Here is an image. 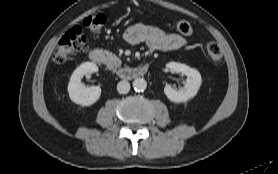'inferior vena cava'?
Wrapping results in <instances>:
<instances>
[{
	"label": "inferior vena cava",
	"mask_w": 278,
	"mask_h": 174,
	"mask_svg": "<svg viewBox=\"0 0 278 174\" xmlns=\"http://www.w3.org/2000/svg\"><path fill=\"white\" fill-rule=\"evenodd\" d=\"M130 90V84L129 82L127 81H120L118 84H117V91L120 93V94H126L128 93Z\"/></svg>",
	"instance_id": "1"
}]
</instances>
